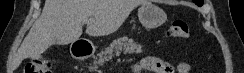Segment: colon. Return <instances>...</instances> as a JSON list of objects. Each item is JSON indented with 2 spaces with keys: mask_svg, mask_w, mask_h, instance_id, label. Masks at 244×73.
I'll list each match as a JSON object with an SVG mask.
<instances>
[{
  "mask_svg": "<svg viewBox=\"0 0 244 73\" xmlns=\"http://www.w3.org/2000/svg\"><path fill=\"white\" fill-rule=\"evenodd\" d=\"M172 38L177 40H189L190 31L184 20H173L169 29ZM51 62L45 59L36 58L27 63L24 73H51Z\"/></svg>",
  "mask_w": 244,
  "mask_h": 73,
  "instance_id": "5ec220e1",
  "label": "colon"
}]
</instances>
